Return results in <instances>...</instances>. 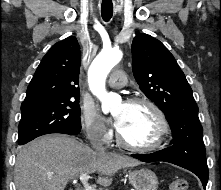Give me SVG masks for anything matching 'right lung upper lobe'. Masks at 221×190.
Wrapping results in <instances>:
<instances>
[{"label":"right lung upper lobe","mask_w":221,"mask_h":190,"mask_svg":"<svg viewBox=\"0 0 221 190\" xmlns=\"http://www.w3.org/2000/svg\"><path fill=\"white\" fill-rule=\"evenodd\" d=\"M80 46L70 36L54 44L41 60L22 105L42 101L79 98Z\"/></svg>","instance_id":"obj_1"}]
</instances>
